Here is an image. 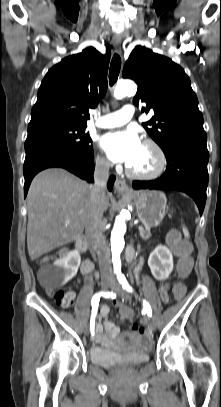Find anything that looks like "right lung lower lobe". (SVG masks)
I'll return each mask as SVG.
<instances>
[{
	"label": "right lung lower lobe",
	"instance_id": "right-lung-lower-lobe-1",
	"mask_svg": "<svg viewBox=\"0 0 221 407\" xmlns=\"http://www.w3.org/2000/svg\"><path fill=\"white\" fill-rule=\"evenodd\" d=\"M61 167L89 182L93 181L94 154L81 157L74 151L55 144H37L26 151L24 162V197H26L33 177L41 170ZM115 176H110L107 183L111 191Z\"/></svg>",
	"mask_w": 221,
	"mask_h": 407
}]
</instances>
